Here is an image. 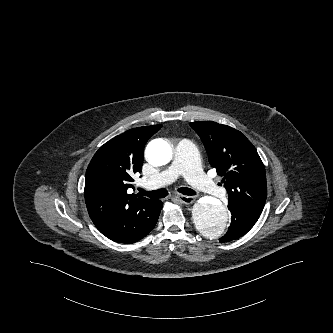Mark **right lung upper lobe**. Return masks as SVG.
<instances>
[{"instance_id":"right-lung-upper-lobe-1","label":"right lung upper lobe","mask_w":333,"mask_h":333,"mask_svg":"<svg viewBox=\"0 0 333 333\" xmlns=\"http://www.w3.org/2000/svg\"><path fill=\"white\" fill-rule=\"evenodd\" d=\"M162 125L130 129L95 153L85 176V202L98 230L106 237L119 233L131 216L153 200L127 194L133 176L141 171L148 139Z\"/></svg>"}]
</instances>
